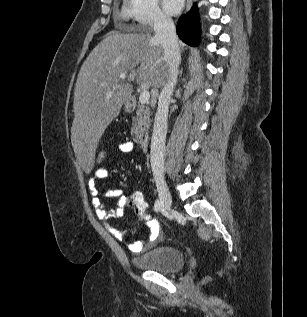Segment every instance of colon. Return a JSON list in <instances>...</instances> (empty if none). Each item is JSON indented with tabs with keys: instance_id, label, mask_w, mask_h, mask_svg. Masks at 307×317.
Here are the masks:
<instances>
[{
	"instance_id": "obj_1",
	"label": "colon",
	"mask_w": 307,
	"mask_h": 317,
	"mask_svg": "<svg viewBox=\"0 0 307 317\" xmlns=\"http://www.w3.org/2000/svg\"><path fill=\"white\" fill-rule=\"evenodd\" d=\"M107 159V152L104 149H99L95 155V161L97 164H103ZM128 206L135 212L137 217L143 221L151 220V216L148 212V205L141 192H133L128 196Z\"/></svg>"
}]
</instances>
